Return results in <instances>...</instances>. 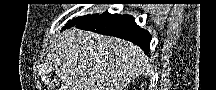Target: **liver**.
Listing matches in <instances>:
<instances>
[{"instance_id": "obj_1", "label": "liver", "mask_w": 216, "mask_h": 90, "mask_svg": "<svg viewBox=\"0 0 216 90\" xmlns=\"http://www.w3.org/2000/svg\"><path fill=\"white\" fill-rule=\"evenodd\" d=\"M58 54L63 90H123L146 62L131 42L76 28L61 34Z\"/></svg>"}]
</instances>
